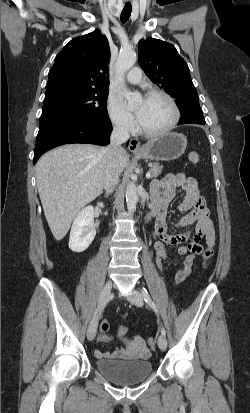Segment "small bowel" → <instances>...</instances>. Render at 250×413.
I'll return each mask as SVG.
<instances>
[{
    "mask_svg": "<svg viewBox=\"0 0 250 413\" xmlns=\"http://www.w3.org/2000/svg\"><path fill=\"white\" fill-rule=\"evenodd\" d=\"M177 190H182L185 193L179 208L187 213L176 221L173 226L189 227V229L171 234L168 232L166 212ZM151 194L152 207L156 212V224L153 231L156 263L160 269L163 261L179 265V269L175 274V282L180 283L190 275L196 257L203 253L200 240L205 238L206 245L212 248L214 246L215 231L209 218V211L206 208L205 200L200 195V188L196 179L183 173L167 174L163 178L153 181ZM169 247H177V254L182 256L180 261L171 256L168 251ZM99 341H110V338L101 332ZM149 355L150 350L146 346L144 338L139 335L128 341L126 348H116L107 352L95 351L97 358L145 359Z\"/></svg>",
    "mask_w": 250,
    "mask_h": 413,
    "instance_id": "small-bowel-1",
    "label": "small bowel"
}]
</instances>
